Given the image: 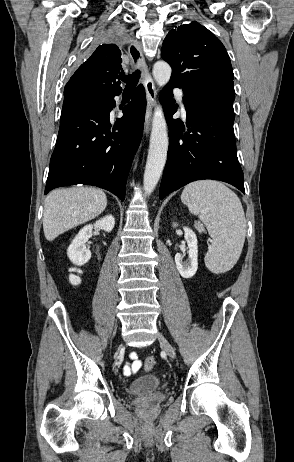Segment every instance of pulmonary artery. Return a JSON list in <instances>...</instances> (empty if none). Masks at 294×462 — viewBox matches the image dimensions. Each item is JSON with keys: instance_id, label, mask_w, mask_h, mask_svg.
Instances as JSON below:
<instances>
[{"instance_id": "obj_1", "label": "pulmonary artery", "mask_w": 294, "mask_h": 462, "mask_svg": "<svg viewBox=\"0 0 294 462\" xmlns=\"http://www.w3.org/2000/svg\"><path fill=\"white\" fill-rule=\"evenodd\" d=\"M176 98L181 106L182 111H185L183 92L181 90L175 91Z\"/></svg>"}]
</instances>
